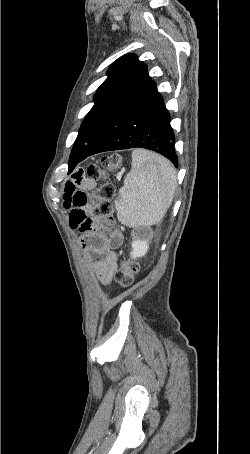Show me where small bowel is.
<instances>
[{
	"instance_id": "small-bowel-1",
	"label": "small bowel",
	"mask_w": 250,
	"mask_h": 454,
	"mask_svg": "<svg viewBox=\"0 0 250 454\" xmlns=\"http://www.w3.org/2000/svg\"><path fill=\"white\" fill-rule=\"evenodd\" d=\"M92 179L82 170H76L65 185L64 199L69 212V224L79 230V242L88 254L91 266L99 280L109 284L117 270V254L123 235L118 230H109L88 215L90 201L87 192L94 188Z\"/></svg>"
}]
</instances>
